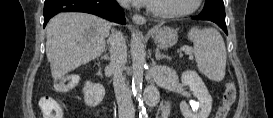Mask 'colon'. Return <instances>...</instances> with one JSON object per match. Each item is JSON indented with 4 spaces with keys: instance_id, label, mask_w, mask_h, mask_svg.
<instances>
[{
    "instance_id": "obj_1",
    "label": "colon",
    "mask_w": 273,
    "mask_h": 118,
    "mask_svg": "<svg viewBox=\"0 0 273 118\" xmlns=\"http://www.w3.org/2000/svg\"><path fill=\"white\" fill-rule=\"evenodd\" d=\"M75 84L71 80H65L62 84L64 88H72ZM236 98V88L232 82L226 85L215 118H226ZM65 109L64 101L54 96H45L40 100V110L44 118H62Z\"/></svg>"
}]
</instances>
